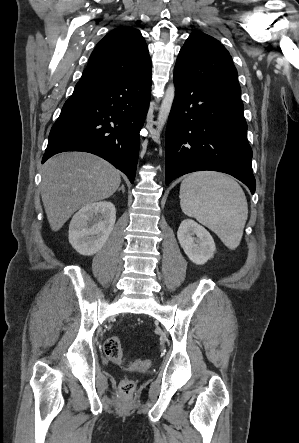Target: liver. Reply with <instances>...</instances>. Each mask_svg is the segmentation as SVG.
<instances>
[{"label":"liver","mask_w":299,"mask_h":443,"mask_svg":"<svg viewBox=\"0 0 299 443\" xmlns=\"http://www.w3.org/2000/svg\"><path fill=\"white\" fill-rule=\"evenodd\" d=\"M120 172L86 152H64L42 167L41 197L52 231H58L78 209L109 198L119 188Z\"/></svg>","instance_id":"1"}]
</instances>
